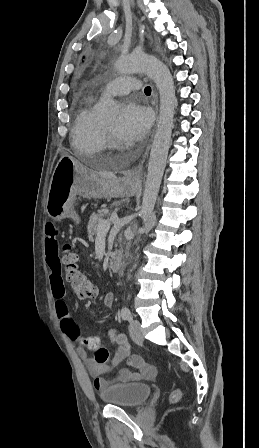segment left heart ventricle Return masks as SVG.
I'll list each match as a JSON object with an SVG mask.
<instances>
[{
    "label": "left heart ventricle",
    "instance_id": "b2bd125f",
    "mask_svg": "<svg viewBox=\"0 0 259 448\" xmlns=\"http://www.w3.org/2000/svg\"><path fill=\"white\" fill-rule=\"evenodd\" d=\"M110 131L112 132L113 138L116 141L117 144L120 145V143L123 141V139L120 137L116 130V118L109 119L102 122Z\"/></svg>",
    "mask_w": 259,
    "mask_h": 448
}]
</instances>
